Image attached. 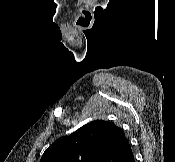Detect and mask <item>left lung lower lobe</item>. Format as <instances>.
Here are the masks:
<instances>
[{"label":"left lung lower lobe","instance_id":"1","mask_svg":"<svg viewBox=\"0 0 175 162\" xmlns=\"http://www.w3.org/2000/svg\"><path fill=\"white\" fill-rule=\"evenodd\" d=\"M106 162H134V155L127 139L115 147Z\"/></svg>","mask_w":175,"mask_h":162}]
</instances>
